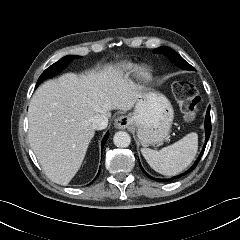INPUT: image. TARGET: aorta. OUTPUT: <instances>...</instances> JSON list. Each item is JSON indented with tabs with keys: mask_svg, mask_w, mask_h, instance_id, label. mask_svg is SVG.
Masks as SVG:
<instances>
[{
	"mask_svg": "<svg viewBox=\"0 0 240 240\" xmlns=\"http://www.w3.org/2000/svg\"><path fill=\"white\" fill-rule=\"evenodd\" d=\"M113 142L117 147L126 148L131 143V137L127 132L118 131L113 137Z\"/></svg>",
	"mask_w": 240,
	"mask_h": 240,
	"instance_id": "1",
	"label": "aorta"
}]
</instances>
